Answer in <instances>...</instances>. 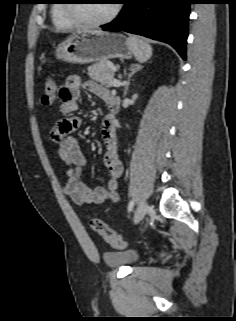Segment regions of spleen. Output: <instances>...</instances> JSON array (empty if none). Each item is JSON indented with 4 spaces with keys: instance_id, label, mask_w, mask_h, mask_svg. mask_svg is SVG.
I'll use <instances>...</instances> for the list:
<instances>
[{
    "instance_id": "obj_1",
    "label": "spleen",
    "mask_w": 236,
    "mask_h": 321,
    "mask_svg": "<svg viewBox=\"0 0 236 321\" xmlns=\"http://www.w3.org/2000/svg\"><path fill=\"white\" fill-rule=\"evenodd\" d=\"M130 45L133 48V54L139 62H145L152 56V47L135 37L128 38Z\"/></svg>"
}]
</instances>
